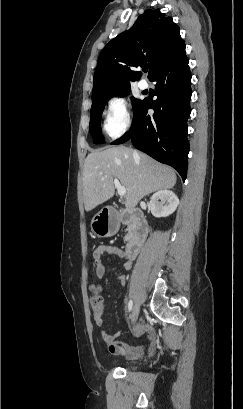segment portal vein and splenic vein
Wrapping results in <instances>:
<instances>
[{"label":"portal vein and splenic vein","instance_id":"1","mask_svg":"<svg viewBox=\"0 0 243 409\" xmlns=\"http://www.w3.org/2000/svg\"><path fill=\"white\" fill-rule=\"evenodd\" d=\"M114 185L117 189L119 196L124 197L126 195V188L120 184L117 178L114 179Z\"/></svg>","mask_w":243,"mask_h":409}]
</instances>
